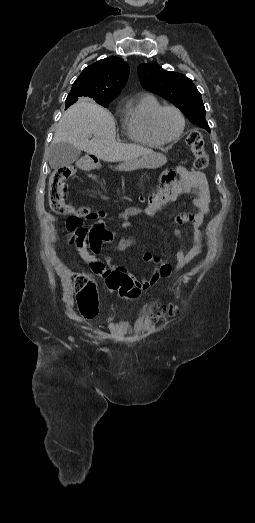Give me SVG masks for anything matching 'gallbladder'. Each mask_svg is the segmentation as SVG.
Wrapping results in <instances>:
<instances>
[{
    "instance_id": "obj_1",
    "label": "gallbladder",
    "mask_w": 255,
    "mask_h": 523,
    "mask_svg": "<svg viewBox=\"0 0 255 523\" xmlns=\"http://www.w3.org/2000/svg\"><path fill=\"white\" fill-rule=\"evenodd\" d=\"M81 150L75 148L69 142H58L53 144L49 150V164L53 170H59L64 166H70L79 158Z\"/></svg>"
}]
</instances>
